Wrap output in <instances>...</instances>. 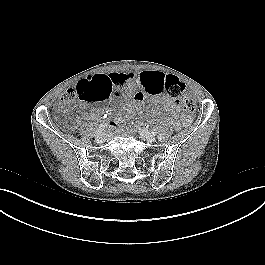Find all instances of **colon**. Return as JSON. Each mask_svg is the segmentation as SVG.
Here are the masks:
<instances>
[{"label":"colon","instance_id":"colon-1","mask_svg":"<svg viewBox=\"0 0 265 265\" xmlns=\"http://www.w3.org/2000/svg\"><path fill=\"white\" fill-rule=\"evenodd\" d=\"M112 90L105 79L96 78L91 81L80 80L77 84L69 89L64 101L78 97L85 101H104L109 98ZM159 92H165L172 98H180L186 111H192L195 107V100L185 93V86L174 75H167L159 87ZM135 107H139L143 102V95L136 93L133 97ZM78 124L76 118L72 117L67 121L69 128H75Z\"/></svg>","mask_w":265,"mask_h":265}]
</instances>
